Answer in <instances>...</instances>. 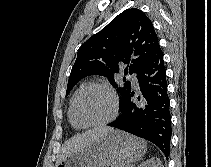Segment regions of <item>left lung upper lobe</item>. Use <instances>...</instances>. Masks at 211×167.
I'll return each mask as SVG.
<instances>
[{
  "instance_id": "left-lung-upper-lobe-1",
  "label": "left lung upper lobe",
  "mask_w": 211,
  "mask_h": 167,
  "mask_svg": "<svg viewBox=\"0 0 211 167\" xmlns=\"http://www.w3.org/2000/svg\"><path fill=\"white\" fill-rule=\"evenodd\" d=\"M158 47V37L151 20L139 9H126L80 47L66 96L85 76L103 75L117 88L122 99L131 86L124 78V86L117 87L114 74L119 72V64H128L129 68L124 70L126 75L137 74Z\"/></svg>"
}]
</instances>
